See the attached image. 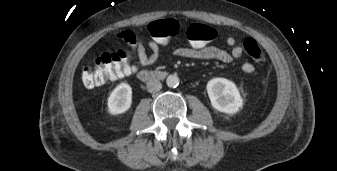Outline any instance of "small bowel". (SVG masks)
Here are the masks:
<instances>
[{
	"mask_svg": "<svg viewBox=\"0 0 337 171\" xmlns=\"http://www.w3.org/2000/svg\"><path fill=\"white\" fill-rule=\"evenodd\" d=\"M121 36L124 38L128 48L132 50L139 67H146L155 64L160 57L161 45L154 40L147 43L149 52L144 44L138 40L133 34L123 32ZM226 44L231 47V50H225L217 46H201V47H179L174 50V54L180 58L194 60H217L229 63L238 59L243 54V48L236 45V40L233 37L226 38ZM242 72L246 75H251L255 71V67L250 62H245L242 67Z\"/></svg>",
	"mask_w": 337,
	"mask_h": 171,
	"instance_id": "small-bowel-1",
	"label": "small bowel"
}]
</instances>
